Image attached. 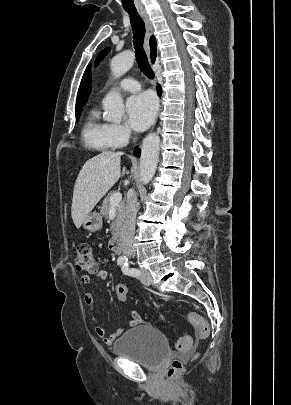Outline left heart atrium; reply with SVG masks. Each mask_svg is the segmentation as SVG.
Segmentation results:
<instances>
[{
	"label": "left heart atrium",
	"mask_w": 291,
	"mask_h": 405,
	"mask_svg": "<svg viewBox=\"0 0 291 405\" xmlns=\"http://www.w3.org/2000/svg\"><path fill=\"white\" fill-rule=\"evenodd\" d=\"M130 125L137 131L146 129L153 122L157 103L151 93L144 92L130 97L126 104Z\"/></svg>",
	"instance_id": "left-heart-atrium-1"
}]
</instances>
